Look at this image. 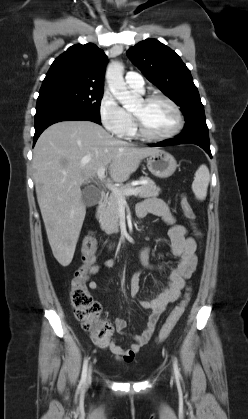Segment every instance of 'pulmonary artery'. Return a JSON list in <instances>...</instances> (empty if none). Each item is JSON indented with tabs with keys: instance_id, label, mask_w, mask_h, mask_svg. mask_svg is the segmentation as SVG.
I'll return each instance as SVG.
<instances>
[{
	"instance_id": "obj_1",
	"label": "pulmonary artery",
	"mask_w": 248,
	"mask_h": 419,
	"mask_svg": "<svg viewBox=\"0 0 248 419\" xmlns=\"http://www.w3.org/2000/svg\"><path fill=\"white\" fill-rule=\"evenodd\" d=\"M125 82L131 89L139 92H143L144 90V80L142 75L138 72H128L125 75Z\"/></svg>"
}]
</instances>
